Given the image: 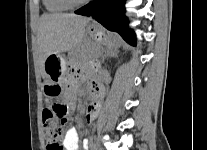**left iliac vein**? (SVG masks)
<instances>
[{
  "label": "left iliac vein",
  "mask_w": 207,
  "mask_h": 150,
  "mask_svg": "<svg viewBox=\"0 0 207 150\" xmlns=\"http://www.w3.org/2000/svg\"><path fill=\"white\" fill-rule=\"evenodd\" d=\"M90 150H98V148L96 147L95 144H91V146H90Z\"/></svg>",
  "instance_id": "obj_1"
}]
</instances>
